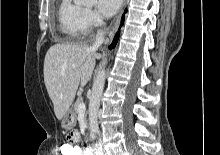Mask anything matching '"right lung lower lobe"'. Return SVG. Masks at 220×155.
Wrapping results in <instances>:
<instances>
[{
    "instance_id": "obj_1",
    "label": "right lung lower lobe",
    "mask_w": 220,
    "mask_h": 155,
    "mask_svg": "<svg viewBox=\"0 0 220 155\" xmlns=\"http://www.w3.org/2000/svg\"><path fill=\"white\" fill-rule=\"evenodd\" d=\"M123 21H124V15L122 16L121 26H122V24H123ZM121 26H120V27H121ZM119 33H120L119 31L116 33L112 44L109 46V49H112V48L115 47V45H116V43H117V41H118V38H119Z\"/></svg>"
}]
</instances>
